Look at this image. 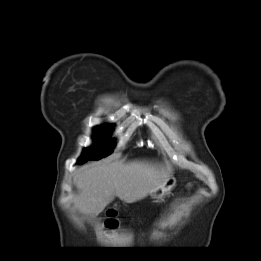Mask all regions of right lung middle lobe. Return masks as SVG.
Wrapping results in <instances>:
<instances>
[{
	"mask_svg": "<svg viewBox=\"0 0 261 261\" xmlns=\"http://www.w3.org/2000/svg\"><path fill=\"white\" fill-rule=\"evenodd\" d=\"M111 126L104 125L94 129V140L98 143L90 148L85 149L80 157L78 164H82L87 160H98L113 152V145L105 143L104 140L109 136Z\"/></svg>",
	"mask_w": 261,
	"mask_h": 261,
	"instance_id": "right-lung-middle-lobe-1",
	"label": "right lung middle lobe"
}]
</instances>
